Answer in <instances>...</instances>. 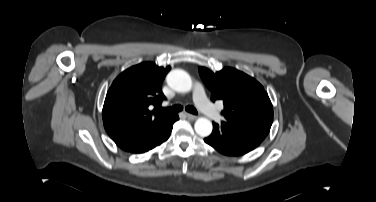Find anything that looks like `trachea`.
Masks as SVG:
<instances>
[{
    "label": "trachea",
    "instance_id": "trachea-1",
    "mask_svg": "<svg viewBox=\"0 0 376 202\" xmlns=\"http://www.w3.org/2000/svg\"><path fill=\"white\" fill-rule=\"evenodd\" d=\"M160 110L164 111V112H168V113H174V112H179V111H182L183 110V107L181 105H174L172 107H168V108H159ZM185 110L189 113H192V114H197V110L193 107V106H186L185 107Z\"/></svg>",
    "mask_w": 376,
    "mask_h": 202
}]
</instances>
